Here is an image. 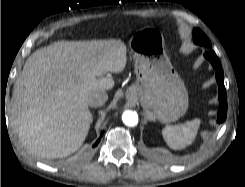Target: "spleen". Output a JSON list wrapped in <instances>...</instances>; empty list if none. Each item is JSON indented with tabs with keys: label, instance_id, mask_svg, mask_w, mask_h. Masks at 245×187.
I'll return each mask as SVG.
<instances>
[{
	"label": "spleen",
	"instance_id": "obj_1",
	"mask_svg": "<svg viewBox=\"0 0 245 187\" xmlns=\"http://www.w3.org/2000/svg\"><path fill=\"white\" fill-rule=\"evenodd\" d=\"M200 123L201 120L196 118L183 124L168 125L162 130V135L170 148L184 149L195 140Z\"/></svg>",
	"mask_w": 245,
	"mask_h": 187
}]
</instances>
